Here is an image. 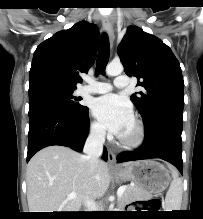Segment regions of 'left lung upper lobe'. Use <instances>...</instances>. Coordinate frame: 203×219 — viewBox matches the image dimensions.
I'll return each instance as SVG.
<instances>
[{
	"label": "left lung upper lobe",
	"instance_id": "1",
	"mask_svg": "<svg viewBox=\"0 0 203 219\" xmlns=\"http://www.w3.org/2000/svg\"><path fill=\"white\" fill-rule=\"evenodd\" d=\"M118 53L126 74L140 79L138 85L145 88L131 96L145 124L162 112L183 111L180 64L166 44L139 27L130 26Z\"/></svg>",
	"mask_w": 203,
	"mask_h": 219
}]
</instances>
